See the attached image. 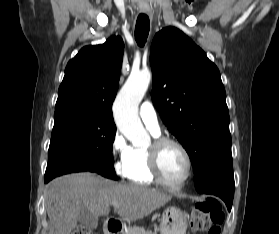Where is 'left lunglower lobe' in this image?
<instances>
[{"label": "left lung lower lobe", "instance_id": "left-lung-lower-lobe-1", "mask_svg": "<svg viewBox=\"0 0 279 234\" xmlns=\"http://www.w3.org/2000/svg\"><path fill=\"white\" fill-rule=\"evenodd\" d=\"M199 193L213 194L224 200L228 211L231 210L234 196V178L233 179H215L201 187L196 188Z\"/></svg>", "mask_w": 279, "mask_h": 234}]
</instances>
